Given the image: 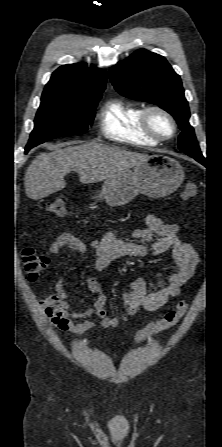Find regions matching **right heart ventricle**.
<instances>
[{
  "mask_svg": "<svg viewBox=\"0 0 222 447\" xmlns=\"http://www.w3.org/2000/svg\"><path fill=\"white\" fill-rule=\"evenodd\" d=\"M143 107L121 99L105 103L100 115L99 126L102 134L114 141L128 144L155 145L158 140L149 136L141 127Z\"/></svg>",
  "mask_w": 222,
  "mask_h": 447,
  "instance_id": "right-heart-ventricle-1",
  "label": "right heart ventricle"
}]
</instances>
